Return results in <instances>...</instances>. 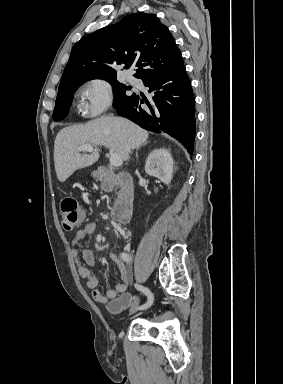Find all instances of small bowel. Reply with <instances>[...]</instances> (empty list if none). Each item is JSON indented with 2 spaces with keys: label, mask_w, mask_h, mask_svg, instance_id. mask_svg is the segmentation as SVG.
Returning <instances> with one entry per match:
<instances>
[{
  "label": "small bowel",
  "mask_w": 283,
  "mask_h": 384,
  "mask_svg": "<svg viewBox=\"0 0 283 384\" xmlns=\"http://www.w3.org/2000/svg\"><path fill=\"white\" fill-rule=\"evenodd\" d=\"M96 231V223L90 222L85 224L72 238V252L76 260L79 273L81 277L85 279L86 288L91 292L93 300L99 304H109L112 300L126 292L130 283V271L124 261L118 255L112 253L110 255V259L117 265L120 271L121 281L113 288L108 289L105 292L98 289V279L91 273L89 268L82 265L80 262V247L82 242ZM81 256L88 266L94 265L95 259L92 251L84 249L81 251Z\"/></svg>",
  "instance_id": "small-bowel-1"
}]
</instances>
